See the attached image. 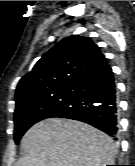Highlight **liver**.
Instances as JSON below:
<instances>
[{
	"instance_id": "liver-1",
	"label": "liver",
	"mask_w": 135,
	"mask_h": 166,
	"mask_svg": "<svg viewBox=\"0 0 135 166\" xmlns=\"http://www.w3.org/2000/svg\"><path fill=\"white\" fill-rule=\"evenodd\" d=\"M25 155L17 166L111 165L113 139L80 121L48 118L33 125L21 140Z\"/></svg>"
}]
</instances>
